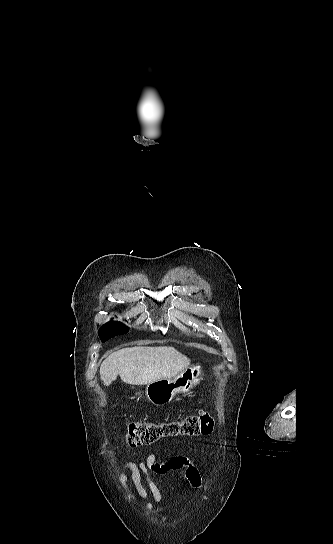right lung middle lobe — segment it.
<instances>
[{
  "label": "right lung middle lobe",
  "mask_w": 333,
  "mask_h": 544,
  "mask_svg": "<svg viewBox=\"0 0 333 544\" xmlns=\"http://www.w3.org/2000/svg\"><path fill=\"white\" fill-rule=\"evenodd\" d=\"M129 331V328L118 322H108L104 324L98 331L102 342L109 340L110 338L125 334Z\"/></svg>",
  "instance_id": "obj_1"
}]
</instances>
